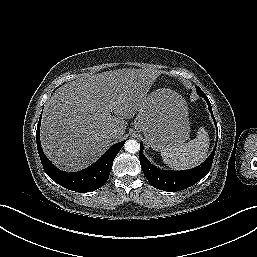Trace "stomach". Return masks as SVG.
I'll list each match as a JSON object with an SVG mask.
<instances>
[{
    "label": "stomach",
    "mask_w": 257,
    "mask_h": 257,
    "mask_svg": "<svg viewBox=\"0 0 257 257\" xmlns=\"http://www.w3.org/2000/svg\"><path fill=\"white\" fill-rule=\"evenodd\" d=\"M134 127L156 151L183 144L190 133L186 101L171 89H157L139 108Z\"/></svg>",
    "instance_id": "obj_1"
}]
</instances>
